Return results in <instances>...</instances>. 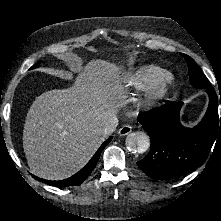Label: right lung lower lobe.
Segmentation results:
<instances>
[{
	"label": "right lung lower lobe",
	"instance_id": "98d812e1",
	"mask_svg": "<svg viewBox=\"0 0 221 221\" xmlns=\"http://www.w3.org/2000/svg\"><path fill=\"white\" fill-rule=\"evenodd\" d=\"M112 137H110L108 140H106L101 147L97 150V152L94 154V156L91 158V160L76 174L73 176L64 179V180H59V181H49V180H44L41 178H38L34 176L35 179L42 181L46 184L56 186L59 188H64V187H69V186H76L81 184L94 170L96 167V164L99 160V157L101 155L102 150L105 148V146L111 141Z\"/></svg>",
	"mask_w": 221,
	"mask_h": 221
}]
</instances>
